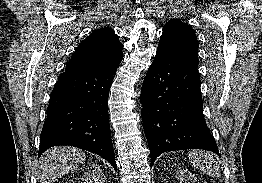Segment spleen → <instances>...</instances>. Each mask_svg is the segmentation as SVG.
I'll use <instances>...</instances> for the list:
<instances>
[{
	"mask_svg": "<svg viewBox=\"0 0 262 183\" xmlns=\"http://www.w3.org/2000/svg\"><path fill=\"white\" fill-rule=\"evenodd\" d=\"M193 166L199 168L210 176H219V169L216 161L210 153L204 151H192L188 156Z\"/></svg>",
	"mask_w": 262,
	"mask_h": 183,
	"instance_id": "1",
	"label": "spleen"
}]
</instances>
